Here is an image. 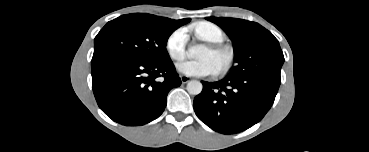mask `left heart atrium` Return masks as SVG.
I'll return each mask as SVG.
<instances>
[{
    "label": "left heart atrium",
    "mask_w": 369,
    "mask_h": 152,
    "mask_svg": "<svg viewBox=\"0 0 369 152\" xmlns=\"http://www.w3.org/2000/svg\"><path fill=\"white\" fill-rule=\"evenodd\" d=\"M179 72L186 76H208L217 72V65L215 61L210 57H204L202 59H184L176 65Z\"/></svg>",
    "instance_id": "1"
}]
</instances>
